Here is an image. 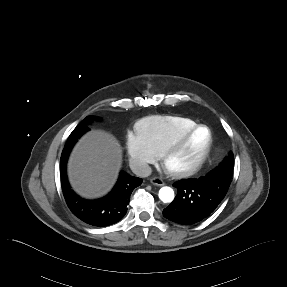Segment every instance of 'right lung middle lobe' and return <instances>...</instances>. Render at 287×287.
Wrapping results in <instances>:
<instances>
[{"label":"right lung middle lobe","mask_w":287,"mask_h":287,"mask_svg":"<svg viewBox=\"0 0 287 287\" xmlns=\"http://www.w3.org/2000/svg\"><path fill=\"white\" fill-rule=\"evenodd\" d=\"M95 119H97V118H95ZM92 120H93V117H92V116H88V117H86L77 127L86 126V125H88L90 122H92ZM77 127H76V128H77Z\"/></svg>","instance_id":"1"}]
</instances>
